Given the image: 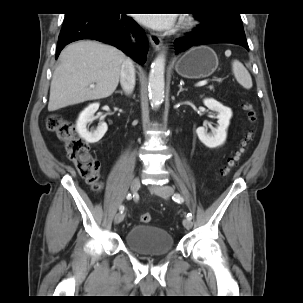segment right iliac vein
<instances>
[{"label": "right iliac vein", "instance_id": "right-iliac-vein-1", "mask_svg": "<svg viewBox=\"0 0 303 303\" xmlns=\"http://www.w3.org/2000/svg\"><path fill=\"white\" fill-rule=\"evenodd\" d=\"M139 188H140V180L138 178H134L130 184L131 192L136 193L139 190ZM124 217H125L124 213L117 214L114 218V223L115 224L121 223L123 221Z\"/></svg>", "mask_w": 303, "mask_h": 303}]
</instances>
